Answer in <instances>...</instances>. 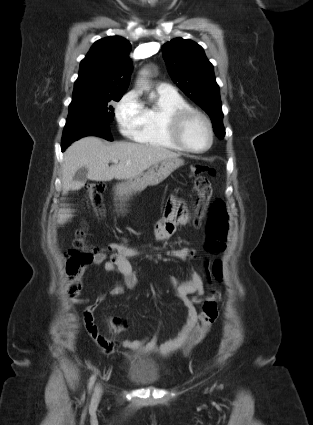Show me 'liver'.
I'll return each instance as SVG.
<instances>
[{
    "label": "liver",
    "mask_w": 313,
    "mask_h": 425,
    "mask_svg": "<svg viewBox=\"0 0 313 425\" xmlns=\"http://www.w3.org/2000/svg\"><path fill=\"white\" fill-rule=\"evenodd\" d=\"M179 154L166 148L131 142L105 144L97 137H84L74 142L64 153L62 165V194L81 189L84 184L73 181L75 173L87 168V178L92 181L130 179L165 159L178 158ZM119 163L109 167V162ZM73 217L72 210L61 208L58 224H64Z\"/></svg>",
    "instance_id": "liver-1"
}]
</instances>
